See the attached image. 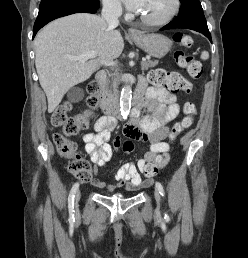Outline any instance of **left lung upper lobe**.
I'll return each instance as SVG.
<instances>
[{
  "mask_svg": "<svg viewBox=\"0 0 248 258\" xmlns=\"http://www.w3.org/2000/svg\"><path fill=\"white\" fill-rule=\"evenodd\" d=\"M181 11L177 19H186L196 14H203V9L199 0H180Z\"/></svg>",
  "mask_w": 248,
  "mask_h": 258,
  "instance_id": "5c2ea615",
  "label": "left lung upper lobe"
}]
</instances>
